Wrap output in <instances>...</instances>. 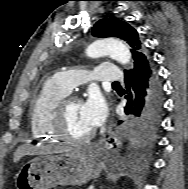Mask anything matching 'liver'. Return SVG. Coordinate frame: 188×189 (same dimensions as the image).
Returning <instances> with one entry per match:
<instances>
[{"label": "liver", "mask_w": 188, "mask_h": 189, "mask_svg": "<svg viewBox=\"0 0 188 189\" xmlns=\"http://www.w3.org/2000/svg\"><path fill=\"white\" fill-rule=\"evenodd\" d=\"M30 152H33L35 154L40 153L38 150H36L32 147H29L26 145L19 146L14 153V157H13L14 162L15 163L18 162L24 155H26ZM48 152H52V153H81L80 150L72 148V147H68V146H57Z\"/></svg>", "instance_id": "liver-1"}]
</instances>
